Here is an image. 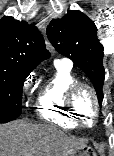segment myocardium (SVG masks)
Wrapping results in <instances>:
<instances>
[{"label": "myocardium", "mask_w": 114, "mask_h": 156, "mask_svg": "<svg viewBox=\"0 0 114 156\" xmlns=\"http://www.w3.org/2000/svg\"><path fill=\"white\" fill-rule=\"evenodd\" d=\"M82 91H87L91 95L94 103L93 118L90 124H87L83 120L82 114L80 113V111L76 106L77 96ZM66 103L68 109L70 110V112L72 113V115L80 125L84 127H92L97 122L100 113V102L96 90L90 84L84 82H78L75 85H73L68 91Z\"/></svg>", "instance_id": "myocardium-1"}]
</instances>
